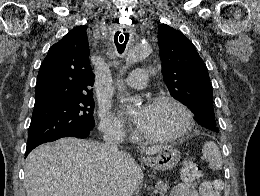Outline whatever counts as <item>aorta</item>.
Wrapping results in <instances>:
<instances>
[{
  "label": "aorta",
  "instance_id": "1",
  "mask_svg": "<svg viewBox=\"0 0 260 196\" xmlns=\"http://www.w3.org/2000/svg\"><path fill=\"white\" fill-rule=\"evenodd\" d=\"M150 52H151V48L148 44L140 43L135 45L127 53V56L125 58L126 64L123 66L121 73L123 74L127 70V68H129V66H131L132 64H135L145 59L150 54ZM118 89L121 92L120 95L121 102L128 103L130 105L138 102L137 99L130 97L128 93H124L125 87L123 82L121 81L118 82ZM128 108H131V106H129Z\"/></svg>",
  "mask_w": 260,
  "mask_h": 196
}]
</instances>
